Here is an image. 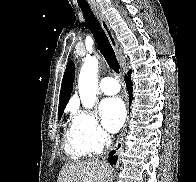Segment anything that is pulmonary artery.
<instances>
[{
    "mask_svg": "<svg viewBox=\"0 0 196 182\" xmlns=\"http://www.w3.org/2000/svg\"><path fill=\"white\" fill-rule=\"evenodd\" d=\"M100 89L107 95H114L120 91V85L114 77H104L100 82Z\"/></svg>",
    "mask_w": 196,
    "mask_h": 182,
    "instance_id": "1",
    "label": "pulmonary artery"
}]
</instances>
